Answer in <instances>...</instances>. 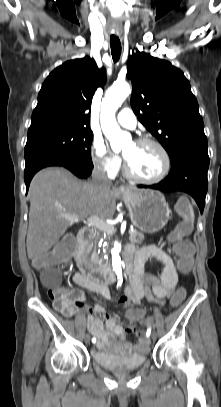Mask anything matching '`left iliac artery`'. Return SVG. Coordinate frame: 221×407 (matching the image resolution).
Returning <instances> with one entry per match:
<instances>
[{
    "mask_svg": "<svg viewBox=\"0 0 221 407\" xmlns=\"http://www.w3.org/2000/svg\"><path fill=\"white\" fill-rule=\"evenodd\" d=\"M150 335V330L147 332V336H149Z\"/></svg>",
    "mask_w": 221,
    "mask_h": 407,
    "instance_id": "44dca946",
    "label": "left iliac artery"
}]
</instances>
